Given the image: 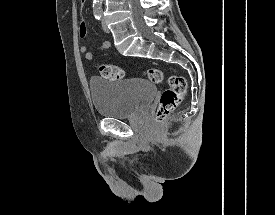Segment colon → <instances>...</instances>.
<instances>
[{"instance_id":"colon-1","label":"colon","mask_w":275,"mask_h":215,"mask_svg":"<svg viewBox=\"0 0 275 215\" xmlns=\"http://www.w3.org/2000/svg\"><path fill=\"white\" fill-rule=\"evenodd\" d=\"M100 74L105 79L119 80L123 76L121 67L112 64L100 63L98 65ZM146 78L155 84L162 82L163 74L160 69L150 68L145 72ZM186 80L177 75L168 78V87L160 95L159 104L156 109L155 119L157 122L164 121L181 103L186 92Z\"/></svg>"}]
</instances>
